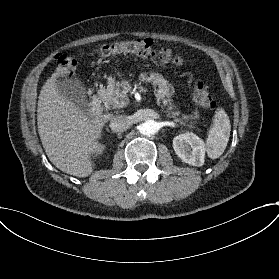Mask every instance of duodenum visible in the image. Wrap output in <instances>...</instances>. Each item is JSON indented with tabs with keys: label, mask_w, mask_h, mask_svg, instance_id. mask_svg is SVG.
Returning a JSON list of instances; mask_svg holds the SVG:
<instances>
[{
	"label": "duodenum",
	"mask_w": 279,
	"mask_h": 279,
	"mask_svg": "<svg viewBox=\"0 0 279 279\" xmlns=\"http://www.w3.org/2000/svg\"><path fill=\"white\" fill-rule=\"evenodd\" d=\"M89 111L93 116H99L102 113L101 102L98 98H93L91 100Z\"/></svg>",
	"instance_id": "410a0bca"
}]
</instances>
